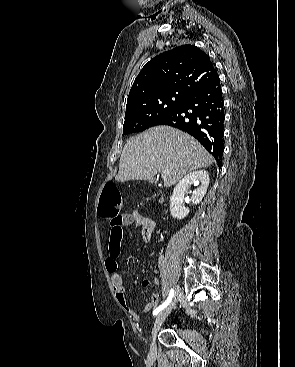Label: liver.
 <instances>
[{"mask_svg": "<svg viewBox=\"0 0 295 367\" xmlns=\"http://www.w3.org/2000/svg\"><path fill=\"white\" fill-rule=\"evenodd\" d=\"M213 157L190 135L157 126L129 138L124 145L116 181L153 180L164 170V185H175L187 173L209 167Z\"/></svg>", "mask_w": 295, "mask_h": 367, "instance_id": "liver-1", "label": "liver"}]
</instances>
